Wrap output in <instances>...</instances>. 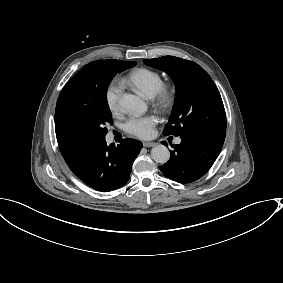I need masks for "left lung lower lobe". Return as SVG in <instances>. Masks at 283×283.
<instances>
[{"mask_svg":"<svg viewBox=\"0 0 283 283\" xmlns=\"http://www.w3.org/2000/svg\"><path fill=\"white\" fill-rule=\"evenodd\" d=\"M181 143L172 145L170 159L159 166L163 175L179 183L201 178L217 159L224 140L181 135Z\"/></svg>","mask_w":283,"mask_h":283,"instance_id":"obj_1","label":"left lung lower lobe"}]
</instances>
